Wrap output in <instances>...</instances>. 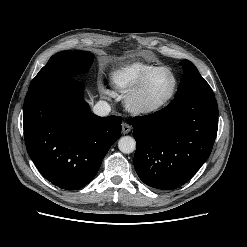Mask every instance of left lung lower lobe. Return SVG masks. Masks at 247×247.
<instances>
[{"mask_svg":"<svg viewBox=\"0 0 247 247\" xmlns=\"http://www.w3.org/2000/svg\"><path fill=\"white\" fill-rule=\"evenodd\" d=\"M137 143L134 167L148 186L170 190L185 184L208 159L218 129L213 92L190 91L163 109L132 119Z\"/></svg>","mask_w":247,"mask_h":247,"instance_id":"1","label":"left lung lower lobe"}]
</instances>
